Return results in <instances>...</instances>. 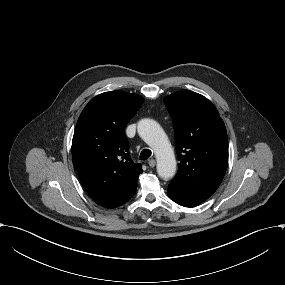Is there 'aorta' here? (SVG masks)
Wrapping results in <instances>:
<instances>
[{
  "label": "aorta",
  "mask_w": 285,
  "mask_h": 285,
  "mask_svg": "<svg viewBox=\"0 0 285 285\" xmlns=\"http://www.w3.org/2000/svg\"><path fill=\"white\" fill-rule=\"evenodd\" d=\"M137 130L140 137L155 153L159 176L163 179L172 178L176 173V159L164 130L153 119L140 120Z\"/></svg>",
  "instance_id": "762f6f07"
}]
</instances>
